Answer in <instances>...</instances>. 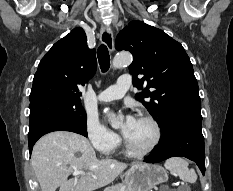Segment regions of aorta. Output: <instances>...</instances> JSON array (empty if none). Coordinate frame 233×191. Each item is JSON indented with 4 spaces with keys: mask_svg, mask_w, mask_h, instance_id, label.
<instances>
[{
    "mask_svg": "<svg viewBox=\"0 0 233 191\" xmlns=\"http://www.w3.org/2000/svg\"><path fill=\"white\" fill-rule=\"evenodd\" d=\"M133 58L132 55L129 52H119L114 60H113V66L115 68H120L123 66H128L131 64ZM105 111H108V109H105ZM110 122L112 127L116 128L119 126V121L118 119L115 118L114 114H110Z\"/></svg>",
    "mask_w": 233,
    "mask_h": 191,
    "instance_id": "obj_1",
    "label": "aorta"
}]
</instances>
